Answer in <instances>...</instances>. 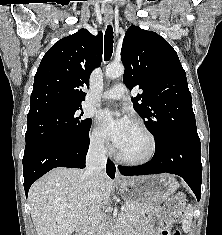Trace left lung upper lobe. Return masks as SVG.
<instances>
[{"mask_svg": "<svg viewBox=\"0 0 222 235\" xmlns=\"http://www.w3.org/2000/svg\"><path fill=\"white\" fill-rule=\"evenodd\" d=\"M121 60L125 85L143 91L132 101L155 146L173 137L200 140L186 74L171 45L157 33L132 25L123 39Z\"/></svg>", "mask_w": 222, "mask_h": 235, "instance_id": "left-lung-upper-lobe-1", "label": "left lung upper lobe"}]
</instances>
